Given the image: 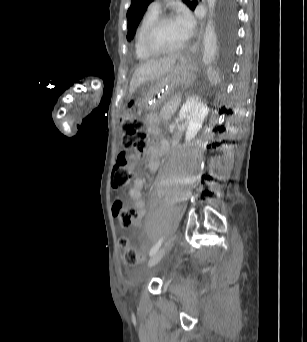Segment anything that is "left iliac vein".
Here are the masks:
<instances>
[{
  "mask_svg": "<svg viewBox=\"0 0 307 342\" xmlns=\"http://www.w3.org/2000/svg\"><path fill=\"white\" fill-rule=\"evenodd\" d=\"M169 247L170 244L167 242L156 253H154L148 262L149 267H153L159 263Z\"/></svg>",
  "mask_w": 307,
  "mask_h": 342,
  "instance_id": "4c4485c4",
  "label": "left iliac vein"
}]
</instances>
